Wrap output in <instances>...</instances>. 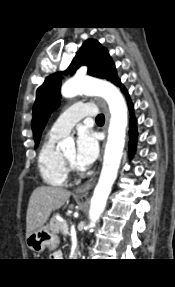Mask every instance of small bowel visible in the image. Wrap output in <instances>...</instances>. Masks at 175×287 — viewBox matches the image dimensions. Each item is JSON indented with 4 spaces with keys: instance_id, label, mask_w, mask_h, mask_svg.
I'll use <instances>...</instances> for the list:
<instances>
[{
    "instance_id": "1",
    "label": "small bowel",
    "mask_w": 175,
    "mask_h": 287,
    "mask_svg": "<svg viewBox=\"0 0 175 287\" xmlns=\"http://www.w3.org/2000/svg\"><path fill=\"white\" fill-rule=\"evenodd\" d=\"M54 255H55L56 257H61V254H60L59 252H56Z\"/></svg>"
}]
</instances>
